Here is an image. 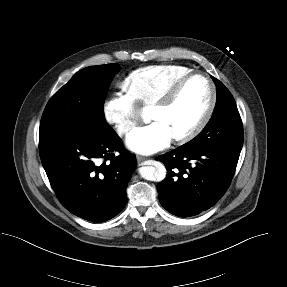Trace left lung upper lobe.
<instances>
[{
  "label": "left lung upper lobe",
  "instance_id": "left-lung-upper-lobe-1",
  "mask_svg": "<svg viewBox=\"0 0 287 287\" xmlns=\"http://www.w3.org/2000/svg\"><path fill=\"white\" fill-rule=\"evenodd\" d=\"M217 87V100L213 115L206 127L187 145L221 147L241 152L243 126L235 100L229 90L212 77Z\"/></svg>",
  "mask_w": 287,
  "mask_h": 287
}]
</instances>
